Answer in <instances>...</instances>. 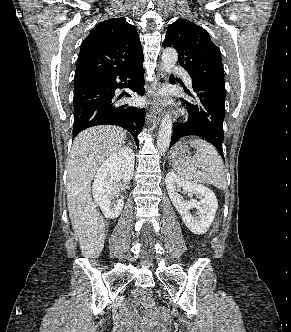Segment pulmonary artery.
Wrapping results in <instances>:
<instances>
[{
  "label": "pulmonary artery",
  "instance_id": "e3ab8cb5",
  "mask_svg": "<svg viewBox=\"0 0 291 332\" xmlns=\"http://www.w3.org/2000/svg\"><path fill=\"white\" fill-rule=\"evenodd\" d=\"M174 71H175L176 73L182 75V76L184 77L185 81H186L189 85H191V83H192V79H191V77L188 75V73H187L183 68H181V67H175V68H174Z\"/></svg>",
  "mask_w": 291,
  "mask_h": 332
}]
</instances>
